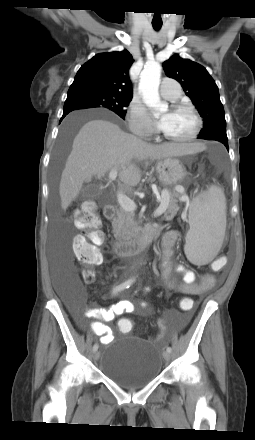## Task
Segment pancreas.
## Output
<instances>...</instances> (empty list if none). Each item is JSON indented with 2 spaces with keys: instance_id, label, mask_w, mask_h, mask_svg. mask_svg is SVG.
<instances>
[{
  "instance_id": "1",
  "label": "pancreas",
  "mask_w": 255,
  "mask_h": 440,
  "mask_svg": "<svg viewBox=\"0 0 255 440\" xmlns=\"http://www.w3.org/2000/svg\"><path fill=\"white\" fill-rule=\"evenodd\" d=\"M161 205H166L164 218L171 220L179 210L176 198H180L179 193L171 192L164 189L161 192ZM113 233L117 239L130 240L137 236L140 227L138 222L135 221L134 212L125 211L119 208L116 211V217L112 221Z\"/></svg>"
}]
</instances>
